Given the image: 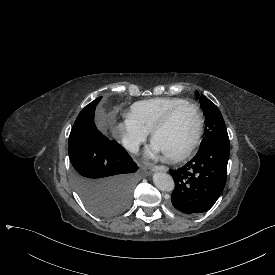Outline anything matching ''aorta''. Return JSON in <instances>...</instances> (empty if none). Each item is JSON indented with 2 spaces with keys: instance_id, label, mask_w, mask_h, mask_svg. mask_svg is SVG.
<instances>
[{
  "instance_id": "1",
  "label": "aorta",
  "mask_w": 275,
  "mask_h": 275,
  "mask_svg": "<svg viewBox=\"0 0 275 275\" xmlns=\"http://www.w3.org/2000/svg\"><path fill=\"white\" fill-rule=\"evenodd\" d=\"M154 185L161 191L171 192L174 189L173 178L164 172H156L153 175Z\"/></svg>"
}]
</instances>
